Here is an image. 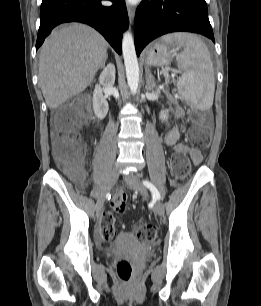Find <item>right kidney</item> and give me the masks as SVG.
Segmentation results:
<instances>
[{"label":"right kidney","mask_w":261,"mask_h":306,"mask_svg":"<svg viewBox=\"0 0 261 306\" xmlns=\"http://www.w3.org/2000/svg\"><path fill=\"white\" fill-rule=\"evenodd\" d=\"M115 82V66L108 64L99 77V84L93 92V110L98 119H104L108 113L109 105L103 96V88L113 87ZM102 86V87H101Z\"/></svg>","instance_id":"1"}]
</instances>
